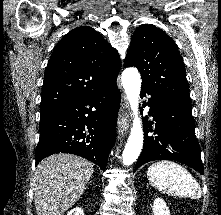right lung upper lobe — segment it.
Wrapping results in <instances>:
<instances>
[{
  "label": "right lung upper lobe",
  "mask_w": 221,
  "mask_h": 215,
  "mask_svg": "<svg viewBox=\"0 0 221 215\" xmlns=\"http://www.w3.org/2000/svg\"><path fill=\"white\" fill-rule=\"evenodd\" d=\"M121 60L97 31L81 26L55 46L44 74L40 112L56 109L116 81Z\"/></svg>",
  "instance_id": "1"
}]
</instances>
